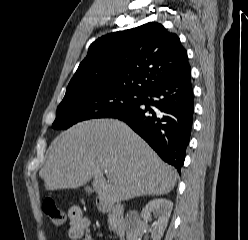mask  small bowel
<instances>
[{
	"label": "small bowel",
	"mask_w": 248,
	"mask_h": 240,
	"mask_svg": "<svg viewBox=\"0 0 248 240\" xmlns=\"http://www.w3.org/2000/svg\"><path fill=\"white\" fill-rule=\"evenodd\" d=\"M68 236L71 240H94L91 234V222L84 216L79 206H72L68 211Z\"/></svg>",
	"instance_id": "obj_1"
}]
</instances>
